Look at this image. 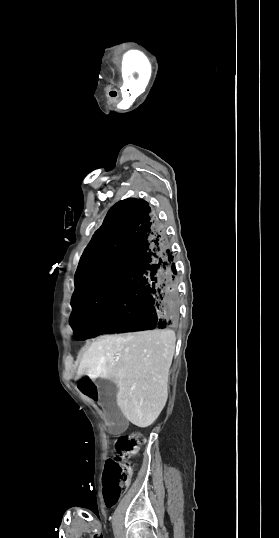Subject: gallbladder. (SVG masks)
I'll return each mask as SVG.
<instances>
[{"mask_svg": "<svg viewBox=\"0 0 279 538\" xmlns=\"http://www.w3.org/2000/svg\"><path fill=\"white\" fill-rule=\"evenodd\" d=\"M95 384L101 392L100 406L102 410H106V416L109 422H112L110 426L112 433H123L127 426V419L123 417L121 409L115 405L118 392L116 384L112 380H101V378L96 380Z\"/></svg>", "mask_w": 279, "mask_h": 538, "instance_id": "gallbladder-1", "label": "gallbladder"}]
</instances>
